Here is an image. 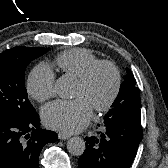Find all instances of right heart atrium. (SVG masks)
Instances as JSON below:
<instances>
[{"label":"right heart atrium","instance_id":"d8ad5b80","mask_svg":"<svg viewBox=\"0 0 168 168\" xmlns=\"http://www.w3.org/2000/svg\"><path fill=\"white\" fill-rule=\"evenodd\" d=\"M28 95L38 102H43L55 95V75L46 65L36 66L26 82Z\"/></svg>","mask_w":168,"mask_h":168}]
</instances>
